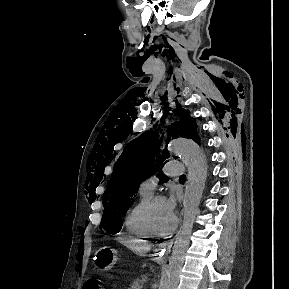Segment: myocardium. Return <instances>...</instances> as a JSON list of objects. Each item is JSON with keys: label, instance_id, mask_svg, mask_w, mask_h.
<instances>
[{"label": "myocardium", "instance_id": "obj_1", "mask_svg": "<svg viewBox=\"0 0 289 289\" xmlns=\"http://www.w3.org/2000/svg\"><path fill=\"white\" fill-rule=\"evenodd\" d=\"M164 199V196L161 194H154L152 195L143 210V215H142V219L143 222L147 228V230L153 235V236H166L169 235L170 233H172L176 226H177V220L174 217L173 221L171 223V225L165 229V230H159L155 227L154 223H153V219H152V210H153V206L154 204L158 201Z\"/></svg>", "mask_w": 289, "mask_h": 289}]
</instances>
